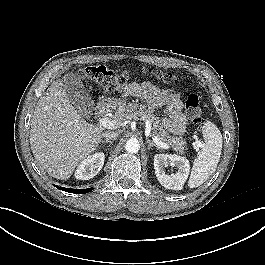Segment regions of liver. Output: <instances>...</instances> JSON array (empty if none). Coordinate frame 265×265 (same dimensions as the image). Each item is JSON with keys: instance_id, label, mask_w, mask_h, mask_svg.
Instances as JSON below:
<instances>
[{"instance_id": "6515ba94", "label": "liver", "mask_w": 265, "mask_h": 265, "mask_svg": "<svg viewBox=\"0 0 265 265\" xmlns=\"http://www.w3.org/2000/svg\"><path fill=\"white\" fill-rule=\"evenodd\" d=\"M103 130L101 125L82 119L62 81L56 80L40 97L32 116L31 150L49 175L67 180L81 161L96 150Z\"/></svg>"}]
</instances>
